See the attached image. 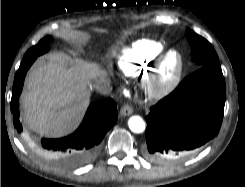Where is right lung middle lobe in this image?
I'll use <instances>...</instances> for the list:
<instances>
[{"label":"right lung middle lobe","instance_id":"1","mask_svg":"<svg viewBox=\"0 0 245 187\" xmlns=\"http://www.w3.org/2000/svg\"><path fill=\"white\" fill-rule=\"evenodd\" d=\"M52 38L50 36H47L43 38L37 45L30 48L24 57H30V56H39L41 54H44L49 50V44L51 42Z\"/></svg>","mask_w":245,"mask_h":187}]
</instances>
